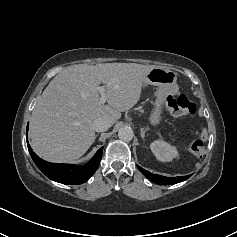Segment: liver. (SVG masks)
Returning <instances> with one entry per match:
<instances>
[{
  "label": "liver",
  "mask_w": 237,
  "mask_h": 237,
  "mask_svg": "<svg viewBox=\"0 0 237 237\" xmlns=\"http://www.w3.org/2000/svg\"><path fill=\"white\" fill-rule=\"evenodd\" d=\"M154 66L136 63L77 64L57 74L32 112L31 146L44 160L72 162L95 140L93 122L115 124L121 112L140 99L146 74ZM105 85L107 105L100 104L98 85Z\"/></svg>",
  "instance_id": "6515ba94"
}]
</instances>
